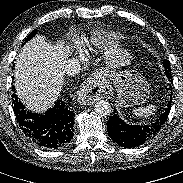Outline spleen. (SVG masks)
Segmentation results:
<instances>
[{
    "label": "spleen",
    "instance_id": "obj_1",
    "mask_svg": "<svg viewBox=\"0 0 183 183\" xmlns=\"http://www.w3.org/2000/svg\"><path fill=\"white\" fill-rule=\"evenodd\" d=\"M155 110V105H147L146 107L134 109L132 112L138 118H148L149 116L154 114Z\"/></svg>",
    "mask_w": 183,
    "mask_h": 183
}]
</instances>
